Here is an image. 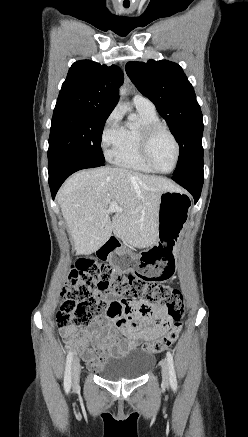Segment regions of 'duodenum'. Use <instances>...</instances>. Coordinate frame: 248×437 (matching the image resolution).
<instances>
[{
    "label": "duodenum",
    "mask_w": 248,
    "mask_h": 437,
    "mask_svg": "<svg viewBox=\"0 0 248 437\" xmlns=\"http://www.w3.org/2000/svg\"><path fill=\"white\" fill-rule=\"evenodd\" d=\"M120 247V241L117 237L111 236L106 242L101 246V248H96L94 250V255L96 257H108L110 253L117 250Z\"/></svg>",
    "instance_id": "410a0bca"
}]
</instances>
